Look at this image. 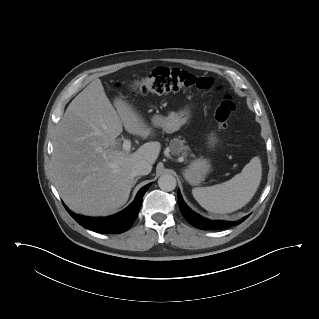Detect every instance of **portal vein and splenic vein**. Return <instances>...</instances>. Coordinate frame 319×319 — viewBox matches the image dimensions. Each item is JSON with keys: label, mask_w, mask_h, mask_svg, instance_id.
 <instances>
[{"label": "portal vein and splenic vein", "mask_w": 319, "mask_h": 319, "mask_svg": "<svg viewBox=\"0 0 319 319\" xmlns=\"http://www.w3.org/2000/svg\"><path fill=\"white\" fill-rule=\"evenodd\" d=\"M122 147H123V150H124V151L129 152V151H130V148H131V142H130V140L125 139V140L123 141Z\"/></svg>", "instance_id": "obj_1"}]
</instances>
